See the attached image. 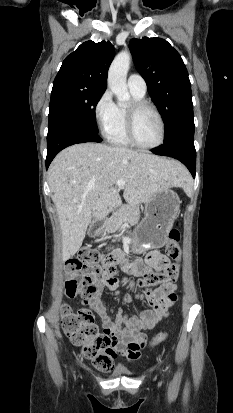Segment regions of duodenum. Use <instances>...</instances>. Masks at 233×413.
I'll return each mask as SVG.
<instances>
[{
  "label": "duodenum",
  "mask_w": 233,
  "mask_h": 413,
  "mask_svg": "<svg viewBox=\"0 0 233 413\" xmlns=\"http://www.w3.org/2000/svg\"><path fill=\"white\" fill-rule=\"evenodd\" d=\"M102 226H103L102 221L95 223L91 228V234L96 235L98 231L102 228Z\"/></svg>",
  "instance_id": "duodenum-1"
}]
</instances>
